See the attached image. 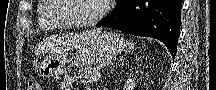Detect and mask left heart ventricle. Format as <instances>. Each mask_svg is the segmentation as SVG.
<instances>
[{
    "label": "left heart ventricle",
    "instance_id": "left-heart-ventricle-1",
    "mask_svg": "<svg viewBox=\"0 0 216 90\" xmlns=\"http://www.w3.org/2000/svg\"><path fill=\"white\" fill-rule=\"evenodd\" d=\"M67 2L71 10L66 15L74 21H86L93 18L102 7L101 1L98 0H67Z\"/></svg>",
    "mask_w": 216,
    "mask_h": 90
}]
</instances>
